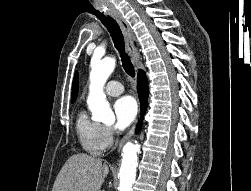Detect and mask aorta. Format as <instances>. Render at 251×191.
Here are the masks:
<instances>
[{
    "label": "aorta",
    "instance_id": "obj_1",
    "mask_svg": "<svg viewBox=\"0 0 251 191\" xmlns=\"http://www.w3.org/2000/svg\"><path fill=\"white\" fill-rule=\"evenodd\" d=\"M90 66L91 84L89 86L87 103L89 109L92 111V119H94V121H108V119H114V113L105 94H103V88L116 66V60H114V58L97 60L95 54H93ZM138 151H140V145H138V143H130V141H128L123 147L119 171V191H131L132 183L135 181L136 177Z\"/></svg>",
    "mask_w": 251,
    "mask_h": 191
}]
</instances>
